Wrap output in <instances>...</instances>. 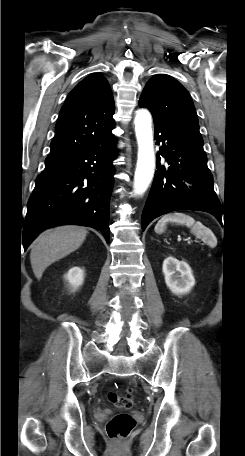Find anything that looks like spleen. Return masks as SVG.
I'll return each instance as SVG.
<instances>
[{
  "label": "spleen",
  "instance_id": "spleen-1",
  "mask_svg": "<svg viewBox=\"0 0 245 456\" xmlns=\"http://www.w3.org/2000/svg\"><path fill=\"white\" fill-rule=\"evenodd\" d=\"M168 222L189 227L192 234L198 238H201L211 247H214L217 244L216 237L209 228L205 227L201 222L195 221L191 216L180 212L166 214L161 217V219L155 225V232L162 234L165 231Z\"/></svg>",
  "mask_w": 245,
  "mask_h": 456
}]
</instances>
